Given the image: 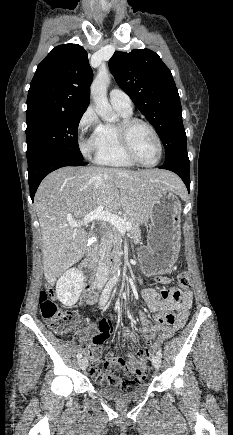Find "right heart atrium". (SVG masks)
Returning a JSON list of instances; mask_svg holds the SVG:
<instances>
[{
  "label": "right heart atrium",
  "instance_id": "d8ad5b80",
  "mask_svg": "<svg viewBox=\"0 0 233 435\" xmlns=\"http://www.w3.org/2000/svg\"><path fill=\"white\" fill-rule=\"evenodd\" d=\"M100 120L92 108H88L78 123V141L82 153L91 157L100 148Z\"/></svg>",
  "mask_w": 233,
  "mask_h": 435
}]
</instances>
